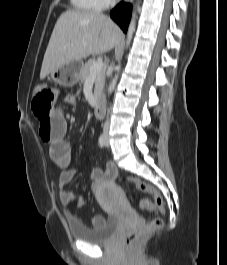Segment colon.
<instances>
[{"label": "colon", "instance_id": "1", "mask_svg": "<svg viewBox=\"0 0 227 265\" xmlns=\"http://www.w3.org/2000/svg\"><path fill=\"white\" fill-rule=\"evenodd\" d=\"M56 98V92L53 88L49 87L45 83H37L34 88V97H33V110L37 116L39 123L41 120H44V116H50L53 102ZM128 180L136 187V189L148 193L153 197V201L149 199H142L140 206L143 210H158L164 212V200L160 193L148 183L135 178L130 177ZM163 225L161 218H154L150 220L145 226L136 233H131L126 236L125 243L130 246L134 244L142 235L153 233L159 230Z\"/></svg>", "mask_w": 227, "mask_h": 265}]
</instances>
